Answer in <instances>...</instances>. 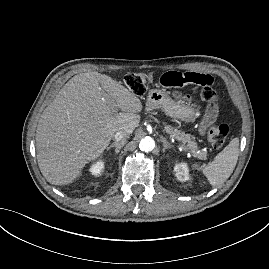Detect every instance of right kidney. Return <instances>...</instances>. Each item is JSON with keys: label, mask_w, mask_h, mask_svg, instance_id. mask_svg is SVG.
<instances>
[{"label": "right kidney", "mask_w": 269, "mask_h": 269, "mask_svg": "<svg viewBox=\"0 0 269 269\" xmlns=\"http://www.w3.org/2000/svg\"><path fill=\"white\" fill-rule=\"evenodd\" d=\"M104 168H105L104 161H98L91 166L90 172L93 176L98 177L104 172Z\"/></svg>", "instance_id": "obj_1"}]
</instances>
